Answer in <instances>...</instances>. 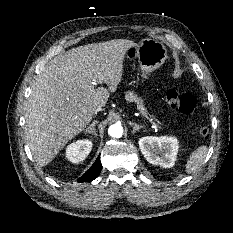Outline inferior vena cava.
Instances as JSON below:
<instances>
[{"mask_svg":"<svg viewBox=\"0 0 233 233\" xmlns=\"http://www.w3.org/2000/svg\"><path fill=\"white\" fill-rule=\"evenodd\" d=\"M99 111H102V108H101V107L95 108V109H94V114H97V112H99Z\"/></svg>","mask_w":233,"mask_h":233,"instance_id":"obj_1","label":"inferior vena cava"}]
</instances>
